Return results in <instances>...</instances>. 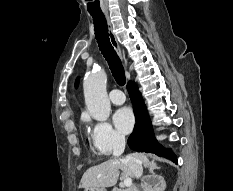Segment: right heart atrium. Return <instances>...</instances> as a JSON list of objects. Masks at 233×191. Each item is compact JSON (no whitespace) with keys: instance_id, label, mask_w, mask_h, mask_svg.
<instances>
[{"instance_id":"obj_1","label":"right heart atrium","mask_w":233,"mask_h":191,"mask_svg":"<svg viewBox=\"0 0 233 191\" xmlns=\"http://www.w3.org/2000/svg\"><path fill=\"white\" fill-rule=\"evenodd\" d=\"M124 137L107 122H97L92 130V142L100 155H110L124 144Z\"/></svg>"}]
</instances>
